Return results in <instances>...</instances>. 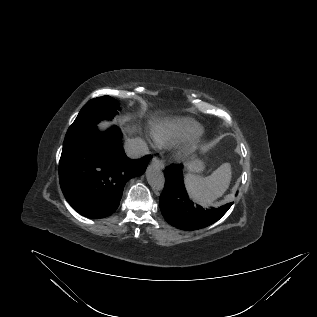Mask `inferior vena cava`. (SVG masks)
<instances>
[{
	"instance_id": "602c4592",
	"label": "inferior vena cava",
	"mask_w": 317,
	"mask_h": 317,
	"mask_svg": "<svg viewBox=\"0 0 317 317\" xmlns=\"http://www.w3.org/2000/svg\"><path fill=\"white\" fill-rule=\"evenodd\" d=\"M124 150L128 157L138 159L148 154V146L143 139H127L124 143Z\"/></svg>"
}]
</instances>
